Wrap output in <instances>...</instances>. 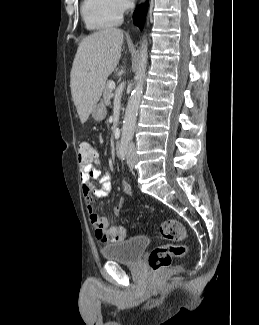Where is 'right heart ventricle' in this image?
<instances>
[{
    "label": "right heart ventricle",
    "instance_id": "1",
    "mask_svg": "<svg viewBox=\"0 0 259 325\" xmlns=\"http://www.w3.org/2000/svg\"><path fill=\"white\" fill-rule=\"evenodd\" d=\"M81 15L89 30H105L117 26L121 22L112 0H82Z\"/></svg>",
    "mask_w": 259,
    "mask_h": 325
}]
</instances>
